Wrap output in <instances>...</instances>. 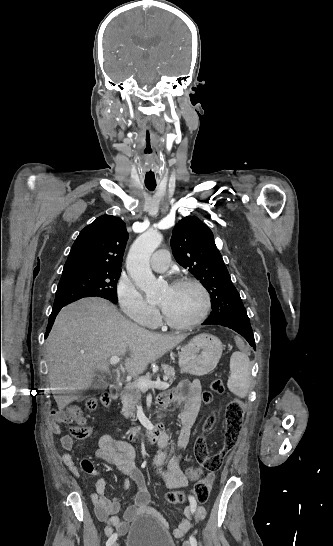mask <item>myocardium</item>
Segmentation results:
<instances>
[{"label":"myocardium","mask_w":333,"mask_h":546,"mask_svg":"<svg viewBox=\"0 0 333 546\" xmlns=\"http://www.w3.org/2000/svg\"><path fill=\"white\" fill-rule=\"evenodd\" d=\"M184 285L195 286L200 291V293H201V295L203 297V305H202V308H201V311H200L199 315L194 320H192L190 322H187V323H178V322L172 320L171 318H169L165 314V312L163 311L162 318H163L164 323L167 326H169L170 328L176 329V330H190V329H193V328L197 327L202 322H204V320L207 318V316L209 315V313L211 311V306H212V300H211L210 293H209L208 289L205 287V285L201 281H199L198 279L193 278V277H182V278H179V279L175 280L172 283L171 287H179V286H184Z\"/></svg>","instance_id":"1"}]
</instances>
